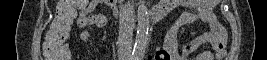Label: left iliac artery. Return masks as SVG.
<instances>
[{
	"mask_svg": "<svg viewBox=\"0 0 267 60\" xmlns=\"http://www.w3.org/2000/svg\"><path fill=\"white\" fill-rule=\"evenodd\" d=\"M143 57H144V55H143V54H141V55L138 57V60H142V59H143Z\"/></svg>",
	"mask_w": 267,
	"mask_h": 60,
	"instance_id": "obj_1",
	"label": "left iliac artery"
}]
</instances>
